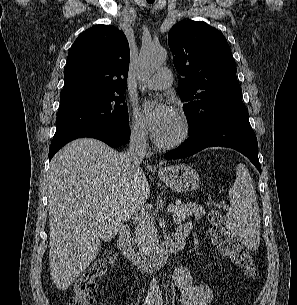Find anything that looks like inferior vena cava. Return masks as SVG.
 <instances>
[{
	"label": "inferior vena cava",
	"instance_id": "602c4592",
	"mask_svg": "<svg viewBox=\"0 0 297 305\" xmlns=\"http://www.w3.org/2000/svg\"><path fill=\"white\" fill-rule=\"evenodd\" d=\"M147 134L141 128H135L131 132L130 143L127 152L123 157L126 166L132 172H139L140 164L146 154Z\"/></svg>",
	"mask_w": 297,
	"mask_h": 305
}]
</instances>
